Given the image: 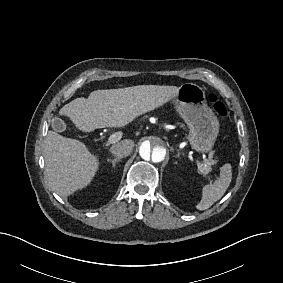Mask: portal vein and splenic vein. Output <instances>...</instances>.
Instances as JSON below:
<instances>
[{
  "instance_id": "1",
  "label": "portal vein and splenic vein",
  "mask_w": 283,
  "mask_h": 283,
  "mask_svg": "<svg viewBox=\"0 0 283 283\" xmlns=\"http://www.w3.org/2000/svg\"><path fill=\"white\" fill-rule=\"evenodd\" d=\"M121 137H122V134L120 132H116L109 137L108 143L109 144L116 143L121 139ZM189 157H192V155L189 154ZM194 162H195V164L199 165L200 168L202 167V165L200 164V162H201L200 159L197 158V159H195ZM203 178L206 182L209 183V182H211V180L212 181L215 180L216 177L213 174L212 175L206 174V175H204Z\"/></svg>"
}]
</instances>
